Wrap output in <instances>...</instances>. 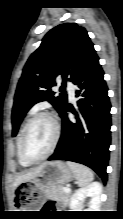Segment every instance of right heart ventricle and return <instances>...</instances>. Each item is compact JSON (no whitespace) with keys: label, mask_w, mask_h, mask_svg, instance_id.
<instances>
[{"label":"right heart ventricle","mask_w":123,"mask_h":219,"mask_svg":"<svg viewBox=\"0 0 123 219\" xmlns=\"http://www.w3.org/2000/svg\"><path fill=\"white\" fill-rule=\"evenodd\" d=\"M20 136H21V134L19 135V137H18V139H17V159H18V162H19V164H20L21 166H23V167H28V166H30V164L27 163V162H25V161L22 159L21 155H20V147H19Z\"/></svg>","instance_id":"obj_1"}]
</instances>
